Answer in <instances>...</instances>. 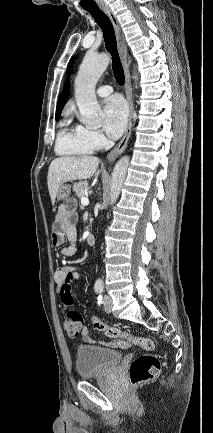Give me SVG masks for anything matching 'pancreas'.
Instances as JSON below:
<instances>
[{
  "label": "pancreas",
  "instance_id": "1",
  "mask_svg": "<svg viewBox=\"0 0 213 433\" xmlns=\"http://www.w3.org/2000/svg\"><path fill=\"white\" fill-rule=\"evenodd\" d=\"M87 190H88V183L86 181H80L73 185V191L80 199L86 195Z\"/></svg>",
  "mask_w": 213,
  "mask_h": 433
}]
</instances>
